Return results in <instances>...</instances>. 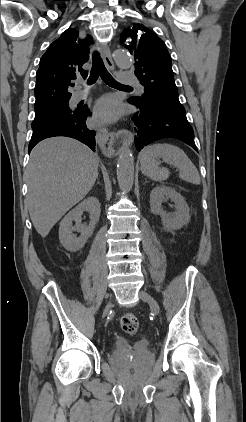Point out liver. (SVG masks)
Segmentation results:
<instances>
[{
  "mask_svg": "<svg viewBox=\"0 0 246 422\" xmlns=\"http://www.w3.org/2000/svg\"><path fill=\"white\" fill-rule=\"evenodd\" d=\"M99 158L68 137L41 141L26 169V204L36 231L45 238L62 216L81 201L98 177Z\"/></svg>",
  "mask_w": 246,
  "mask_h": 422,
  "instance_id": "liver-1",
  "label": "liver"
}]
</instances>
